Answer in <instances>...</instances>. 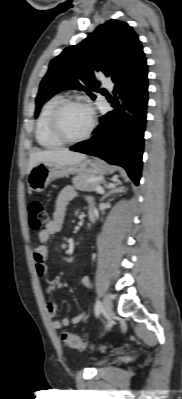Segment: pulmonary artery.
<instances>
[{
  "label": "pulmonary artery",
  "instance_id": "obj_1",
  "mask_svg": "<svg viewBox=\"0 0 182 399\" xmlns=\"http://www.w3.org/2000/svg\"><path fill=\"white\" fill-rule=\"evenodd\" d=\"M103 86L107 89H112L113 88V82L109 79H106L103 81Z\"/></svg>",
  "mask_w": 182,
  "mask_h": 399
}]
</instances>
